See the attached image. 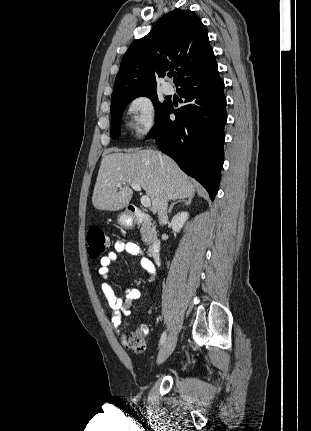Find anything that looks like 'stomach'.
Returning <instances> with one entry per match:
<instances>
[{
	"label": "stomach",
	"mask_w": 311,
	"mask_h": 431,
	"mask_svg": "<svg viewBox=\"0 0 311 431\" xmlns=\"http://www.w3.org/2000/svg\"><path fill=\"white\" fill-rule=\"evenodd\" d=\"M117 223H119L121 227H124V229H132V227H135L134 217L128 216L126 212H121V214H118Z\"/></svg>",
	"instance_id": "0dacf381"
}]
</instances>
